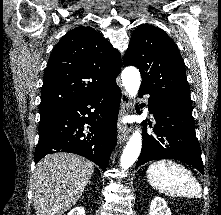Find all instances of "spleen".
<instances>
[{
  "instance_id": "obj_1",
  "label": "spleen",
  "mask_w": 221,
  "mask_h": 215,
  "mask_svg": "<svg viewBox=\"0 0 221 215\" xmlns=\"http://www.w3.org/2000/svg\"><path fill=\"white\" fill-rule=\"evenodd\" d=\"M150 185L168 196L201 197V186L184 166L172 160H160L147 169Z\"/></svg>"
}]
</instances>
